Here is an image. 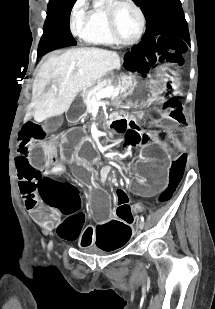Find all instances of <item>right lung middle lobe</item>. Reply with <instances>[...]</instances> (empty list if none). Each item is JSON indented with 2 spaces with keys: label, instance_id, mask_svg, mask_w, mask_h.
<instances>
[{
  "label": "right lung middle lobe",
  "instance_id": "dd1d6c3e",
  "mask_svg": "<svg viewBox=\"0 0 215 309\" xmlns=\"http://www.w3.org/2000/svg\"><path fill=\"white\" fill-rule=\"evenodd\" d=\"M76 0H49L44 34L38 46V57L60 48L76 45L70 27L69 17Z\"/></svg>",
  "mask_w": 215,
  "mask_h": 309
}]
</instances>
